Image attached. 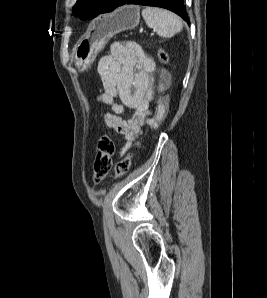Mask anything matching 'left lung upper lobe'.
<instances>
[{
    "mask_svg": "<svg viewBox=\"0 0 267 298\" xmlns=\"http://www.w3.org/2000/svg\"><path fill=\"white\" fill-rule=\"evenodd\" d=\"M117 0H77L72 12L74 16L82 20L91 19L95 16L113 10Z\"/></svg>",
    "mask_w": 267,
    "mask_h": 298,
    "instance_id": "left-lung-upper-lobe-1",
    "label": "left lung upper lobe"
}]
</instances>
